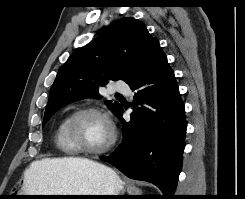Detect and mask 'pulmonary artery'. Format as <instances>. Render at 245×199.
<instances>
[{
  "instance_id": "obj_1",
  "label": "pulmonary artery",
  "mask_w": 245,
  "mask_h": 199,
  "mask_svg": "<svg viewBox=\"0 0 245 199\" xmlns=\"http://www.w3.org/2000/svg\"><path fill=\"white\" fill-rule=\"evenodd\" d=\"M112 92H118V93H130L129 86L124 82H116L112 86Z\"/></svg>"
}]
</instances>
